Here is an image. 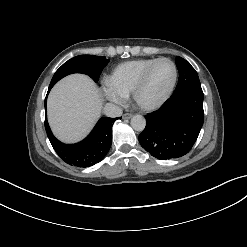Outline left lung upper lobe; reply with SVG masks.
I'll return each mask as SVG.
<instances>
[{
	"instance_id": "5c2ea615",
	"label": "left lung upper lobe",
	"mask_w": 247,
	"mask_h": 247,
	"mask_svg": "<svg viewBox=\"0 0 247 247\" xmlns=\"http://www.w3.org/2000/svg\"><path fill=\"white\" fill-rule=\"evenodd\" d=\"M176 66L179 71V79L176 88L183 86L200 85V80L191 64L181 57H176Z\"/></svg>"
}]
</instances>
